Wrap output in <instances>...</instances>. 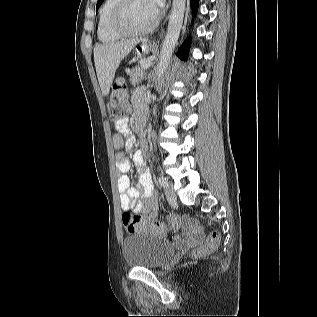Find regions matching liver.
<instances>
[{"label":"liver","mask_w":317,"mask_h":317,"mask_svg":"<svg viewBox=\"0 0 317 317\" xmlns=\"http://www.w3.org/2000/svg\"><path fill=\"white\" fill-rule=\"evenodd\" d=\"M141 39H130L112 43L97 44L94 47V63L102 94L107 96L120 62Z\"/></svg>","instance_id":"6515ba94"}]
</instances>
